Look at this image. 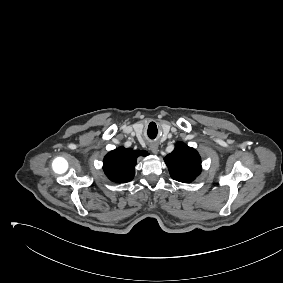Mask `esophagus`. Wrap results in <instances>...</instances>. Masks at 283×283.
Segmentation results:
<instances>
[{
	"label": "esophagus",
	"instance_id": "34e87169",
	"mask_svg": "<svg viewBox=\"0 0 283 283\" xmlns=\"http://www.w3.org/2000/svg\"><path fill=\"white\" fill-rule=\"evenodd\" d=\"M149 147H150V150H151L154 154H157V153H158V151H159V149H158V144H156V143H151Z\"/></svg>",
	"mask_w": 283,
	"mask_h": 283
}]
</instances>
